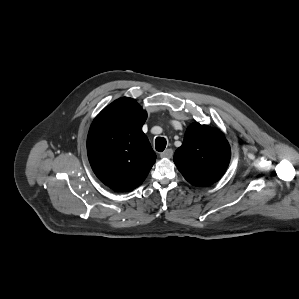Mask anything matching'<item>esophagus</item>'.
<instances>
[{
  "mask_svg": "<svg viewBox=\"0 0 299 299\" xmlns=\"http://www.w3.org/2000/svg\"><path fill=\"white\" fill-rule=\"evenodd\" d=\"M173 156V150L172 149H166L162 153H160L161 158H167L170 159Z\"/></svg>",
  "mask_w": 299,
  "mask_h": 299,
  "instance_id": "obj_1",
  "label": "esophagus"
}]
</instances>
